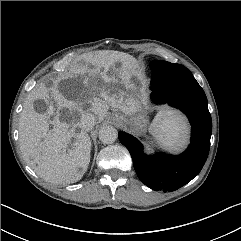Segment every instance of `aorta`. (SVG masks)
I'll list each match as a JSON object with an SVG mask.
<instances>
[{
    "label": "aorta",
    "instance_id": "1",
    "mask_svg": "<svg viewBox=\"0 0 241 241\" xmlns=\"http://www.w3.org/2000/svg\"><path fill=\"white\" fill-rule=\"evenodd\" d=\"M118 132L115 127L106 125L103 126L99 131V139L104 144H112L116 141Z\"/></svg>",
    "mask_w": 241,
    "mask_h": 241
}]
</instances>
